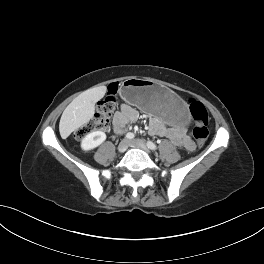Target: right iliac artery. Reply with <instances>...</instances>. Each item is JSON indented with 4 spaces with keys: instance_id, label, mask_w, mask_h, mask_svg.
<instances>
[{
    "instance_id": "obj_1",
    "label": "right iliac artery",
    "mask_w": 264,
    "mask_h": 264,
    "mask_svg": "<svg viewBox=\"0 0 264 264\" xmlns=\"http://www.w3.org/2000/svg\"><path fill=\"white\" fill-rule=\"evenodd\" d=\"M126 138L129 139V140H131V139L134 138V134L131 133V132H129V133L126 134Z\"/></svg>"
}]
</instances>
